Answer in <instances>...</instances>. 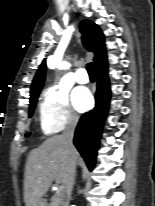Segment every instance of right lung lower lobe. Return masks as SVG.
<instances>
[{"label":"right lung lower lobe","mask_w":155,"mask_h":206,"mask_svg":"<svg viewBox=\"0 0 155 206\" xmlns=\"http://www.w3.org/2000/svg\"><path fill=\"white\" fill-rule=\"evenodd\" d=\"M107 71V63L97 68L95 108L82 115L74 136V145L84 158L89 170H92L96 163L99 140L109 108L111 93Z\"/></svg>","instance_id":"1"}]
</instances>
